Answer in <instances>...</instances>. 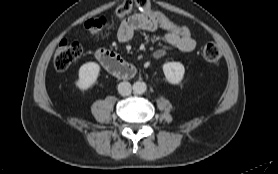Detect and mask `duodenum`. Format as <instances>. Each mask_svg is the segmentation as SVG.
I'll return each mask as SVG.
<instances>
[{"instance_id":"obj_1","label":"duodenum","mask_w":278,"mask_h":174,"mask_svg":"<svg viewBox=\"0 0 278 174\" xmlns=\"http://www.w3.org/2000/svg\"><path fill=\"white\" fill-rule=\"evenodd\" d=\"M97 59L113 75L127 77L134 72L133 67L114 52L99 50L97 52Z\"/></svg>"}]
</instances>
